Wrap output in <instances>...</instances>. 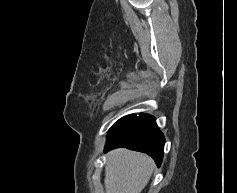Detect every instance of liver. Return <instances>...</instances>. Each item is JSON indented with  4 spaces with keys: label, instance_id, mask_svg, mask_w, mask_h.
<instances>
[{
    "label": "liver",
    "instance_id": "obj_1",
    "mask_svg": "<svg viewBox=\"0 0 237 193\" xmlns=\"http://www.w3.org/2000/svg\"><path fill=\"white\" fill-rule=\"evenodd\" d=\"M154 168L146 154L123 148L111 151L105 166V193H141Z\"/></svg>",
    "mask_w": 237,
    "mask_h": 193
}]
</instances>
